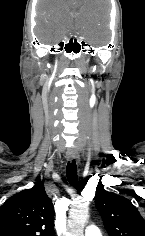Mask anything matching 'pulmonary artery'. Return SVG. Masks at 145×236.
Listing matches in <instances>:
<instances>
[{"label": "pulmonary artery", "instance_id": "pulmonary-artery-1", "mask_svg": "<svg viewBox=\"0 0 145 236\" xmlns=\"http://www.w3.org/2000/svg\"><path fill=\"white\" fill-rule=\"evenodd\" d=\"M85 236H102V233L97 226L89 225L85 229Z\"/></svg>", "mask_w": 145, "mask_h": 236}]
</instances>
